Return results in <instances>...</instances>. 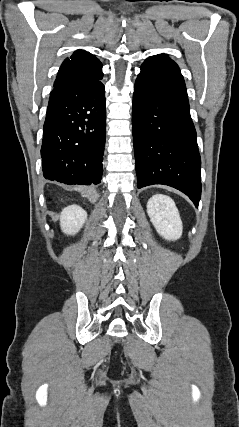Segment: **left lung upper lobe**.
<instances>
[{
    "mask_svg": "<svg viewBox=\"0 0 239 427\" xmlns=\"http://www.w3.org/2000/svg\"><path fill=\"white\" fill-rule=\"evenodd\" d=\"M146 61H150L169 69H173L180 72L178 65L171 60L166 54H159L148 58Z\"/></svg>",
    "mask_w": 239,
    "mask_h": 427,
    "instance_id": "1",
    "label": "left lung upper lobe"
}]
</instances>
